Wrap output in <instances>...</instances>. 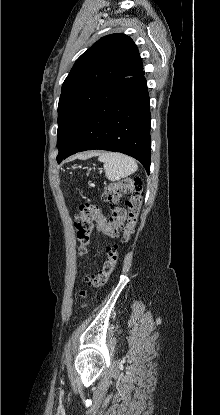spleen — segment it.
Segmentation results:
<instances>
[{"instance_id":"1","label":"spleen","mask_w":220,"mask_h":415,"mask_svg":"<svg viewBox=\"0 0 220 415\" xmlns=\"http://www.w3.org/2000/svg\"><path fill=\"white\" fill-rule=\"evenodd\" d=\"M98 160L104 163L106 176L111 181L125 178L134 173L138 168L133 158L121 153H101L99 154Z\"/></svg>"}]
</instances>
